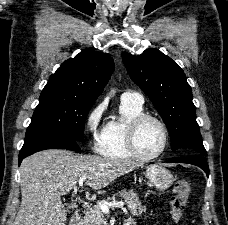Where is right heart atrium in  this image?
Masks as SVG:
<instances>
[{
	"mask_svg": "<svg viewBox=\"0 0 228 225\" xmlns=\"http://www.w3.org/2000/svg\"><path fill=\"white\" fill-rule=\"evenodd\" d=\"M106 110L104 101L94 105L85 116V128L90 134L92 141L97 145L101 135L103 134L106 124H103V116Z\"/></svg>",
	"mask_w": 228,
	"mask_h": 225,
	"instance_id": "d8ad5b80",
	"label": "right heart atrium"
}]
</instances>
